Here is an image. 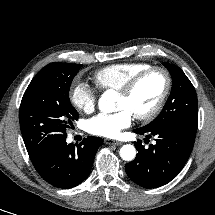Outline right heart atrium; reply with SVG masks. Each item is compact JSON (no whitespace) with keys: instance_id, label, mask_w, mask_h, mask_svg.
<instances>
[{"instance_id":"1","label":"right heart atrium","mask_w":215,"mask_h":215,"mask_svg":"<svg viewBox=\"0 0 215 215\" xmlns=\"http://www.w3.org/2000/svg\"><path fill=\"white\" fill-rule=\"evenodd\" d=\"M70 101L81 112L94 111L97 101V93L94 87L84 81L75 82L70 89Z\"/></svg>"}]
</instances>
